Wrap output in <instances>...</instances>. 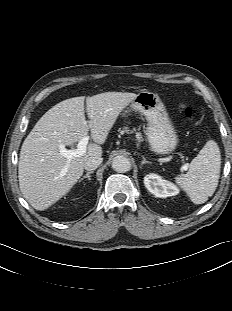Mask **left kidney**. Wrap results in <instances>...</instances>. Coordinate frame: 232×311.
Instances as JSON below:
<instances>
[{
    "instance_id": "obj_1",
    "label": "left kidney",
    "mask_w": 232,
    "mask_h": 311,
    "mask_svg": "<svg viewBox=\"0 0 232 311\" xmlns=\"http://www.w3.org/2000/svg\"><path fill=\"white\" fill-rule=\"evenodd\" d=\"M145 187L156 197L166 198L175 196L179 193V189L172 182L164 180L161 176L151 173L144 177Z\"/></svg>"
}]
</instances>
